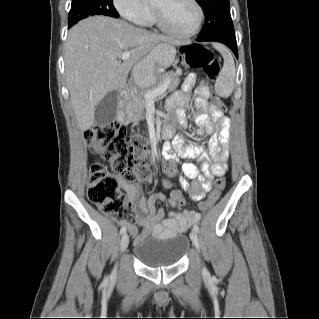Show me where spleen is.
<instances>
[{"label":"spleen","mask_w":319,"mask_h":319,"mask_svg":"<svg viewBox=\"0 0 319 319\" xmlns=\"http://www.w3.org/2000/svg\"><path fill=\"white\" fill-rule=\"evenodd\" d=\"M215 48L221 53L224 59V65L220 71L219 77L215 82V92L223 98L231 95L235 79V64L229 50L223 45L216 44Z\"/></svg>","instance_id":"1"}]
</instances>
